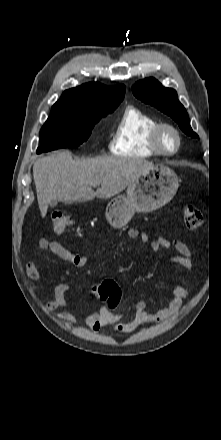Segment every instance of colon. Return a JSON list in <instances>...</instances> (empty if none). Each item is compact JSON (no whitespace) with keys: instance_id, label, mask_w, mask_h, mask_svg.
<instances>
[{"instance_id":"5ec220e1","label":"colon","mask_w":221,"mask_h":440,"mask_svg":"<svg viewBox=\"0 0 221 440\" xmlns=\"http://www.w3.org/2000/svg\"><path fill=\"white\" fill-rule=\"evenodd\" d=\"M184 225L189 229H196L201 226L203 216L201 211L193 205H184L181 209ZM51 225L55 233L64 234L73 224L70 214L62 210L54 211L51 214ZM96 296L106 301L105 306L111 315L117 312L118 301L121 296V289L114 280H106L93 288Z\"/></svg>"}]
</instances>
